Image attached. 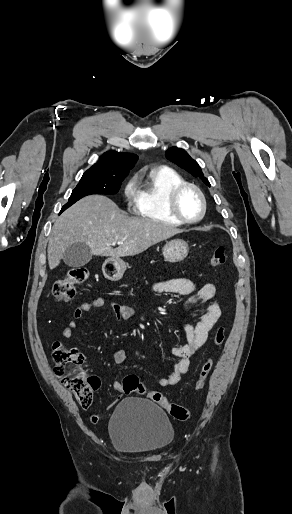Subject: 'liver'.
<instances>
[{"instance_id": "liver-1", "label": "liver", "mask_w": 292, "mask_h": 514, "mask_svg": "<svg viewBox=\"0 0 292 514\" xmlns=\"http://www.w3.org/2000/svg\"><path fill=\"white\" fill-rule=\"evenodd\" d=\"M174 226H165L149 218H129L106 196H86L59 216L48 244L50 270L59 266L65 248L84 242L94 256H136L150 246L181 234ZM113 242L118 248H112Z\"/></svg>"}]
</instances>
